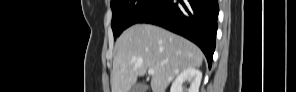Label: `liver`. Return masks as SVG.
I'll use <instances>...</instances> for the list:
<instances>
[{
  "label": "liver",
  "instance_id": "1",
  "mask_svg": "<svg viewBox=\"0 0 296 92\" xmlns=\"http://www.w3.org/2000/svg\"><path fill=\"white\" fill-rule=\"evenodd\" d=\"M113 60L112 92H129L138 76L154 69L152 92H165L179 72L200 67L203 53L192 42L163 28L135 24L116 41Z\"/></svg>",
  "mask_w": 296,
  "mask_h": 92
}]
</instances>
